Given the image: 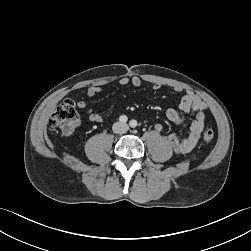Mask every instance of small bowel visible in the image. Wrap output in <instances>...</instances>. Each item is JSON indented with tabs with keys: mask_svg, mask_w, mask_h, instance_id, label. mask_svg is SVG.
<instances>
[{
	"mask_svg": "<svg viewBox=\"0 0 251 251\" xmlns=\"http://www.w3.org/2000/svg\"><path fill=\"white\" fill-rule=\"evenodd\" d=\"M119 84L122 87H139L142 84V80L138 76L123 77L119 80ZM160 84H153V90H159ZM105 90L103 86H91L87 90L88 97L92 98L98 93ZM176 92H182L180 87L175 88ZM77 106L85 114H87L90 121L95 123L105 122V118L95 109L89 107L86 102L79 101ZM179 109L186 115L190 116V130L187 137L179 139L176 135L171 134L168 136V142L174 152L179 154L191 153L200 140L201 132L204 127L205 109L206 103L194 92L185 90L184 95L179 103ZM166 117L169 121L175 124H183L186 121V117L180 114L177 110L169 108L166 110ZM155 130L160 132L162 130L161 124L155 125Z\"/></svg>",
	"mask_w": 251,
	"mask_h": 251,
	"instance_id": "c3829d8e",
	"label": "small bowel"
}]
</instances>
